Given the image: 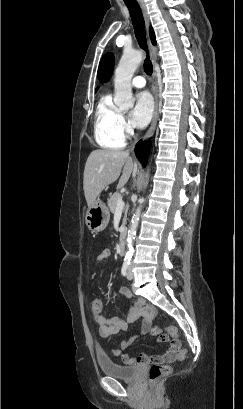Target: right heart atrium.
<instances>
[{
    "mask_svg": "<svg viewBox=\"0 0 243 409\" xmlns=\"http://www.w3.org/2000/svg\"><path fill=\"white\" fill-rule=\"evenodd\" d=\"M118 129L123 136L128 135L131 132L130 126L122 115H120L118 120Z\"/></svg>",
    "mask_w": 243,
    "mask_h": 409,
    "instance_id": "1",
    "label": "right heart atrium"
}]
</instances>
